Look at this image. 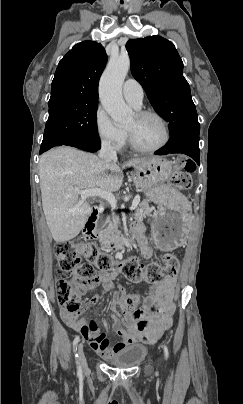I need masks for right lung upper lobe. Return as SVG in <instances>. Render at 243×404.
<instances>
[{"instance_id":"right-lung-upper-lobe-1","label":"right lung upper lobe","mask_w":243,"mask_h":404,"mask_svg":"<svg viewBox=\"0 0 243 404\" xmlns=\"http://www.w3.org/2000/svg\"><path fill=\"white\" fill-rule=\"evenodd\" d=\"M104 47L94 41L75 45L59 62L49 106L64 102H98V83L106 66Z\"/></svg>"}]
</instances>
